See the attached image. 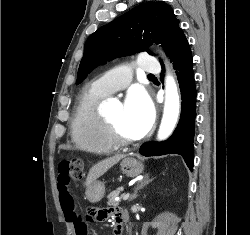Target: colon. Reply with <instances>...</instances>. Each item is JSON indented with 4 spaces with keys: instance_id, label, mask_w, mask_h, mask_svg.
Returning <instances> with one entry per match:
<instances>
[{
    "instance_id": "1",
    "label": "colon",
    "mask_w": 250,
    "mask_h": 235,
    "mask_svg": "<svg viewBox=\"0 0 250 235\" xmlns=\"http://www.w3.org/2000/svg\"><path fill=\"white\" fill-rule=\"evenodd\" d=\"M83 176V161L81 159L63 160L59 163V179L58 184L61 188L70 189L71 184L80 180ZM97 217V210H91L89 213V221H94ZM76 235H86V222L78 220L75 222Z\"/></svg>"
}]
</instances>
